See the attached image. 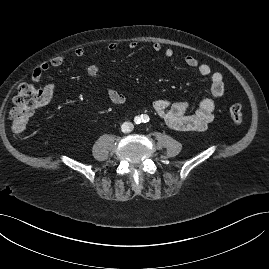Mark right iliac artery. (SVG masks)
<instances>
[{
  "instance_id": "1",
  "label": "right iliac artery",
  "mask_w": 269,
  "mask_h": 269,
  "mask_svg": "<svg viewBox=\"0 0 269 269\" xmlns=\"http://www.w3.org/2000/svg\"><path fill=\"white\" fill-rule=\"evenodd\" d=\"M135 120H136L137 122H140V118H139V117H136Z\"/></svg>"
}]
</instances>
